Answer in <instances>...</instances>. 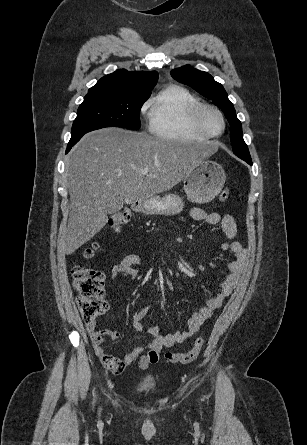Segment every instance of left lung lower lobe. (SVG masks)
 I'll use <instances>...</instances> for the list:
<instances>
[{
	"label": "left lung lower lobe",
	"mask_w": 307,
	"mask_h": 445,
	"mask_svg": "<svg viewBox=\"0 0 307 445\" xmlns=\"http://www.w3.org/2000/svg\"><path fill=\"white\" fill-rule=\"evenodd\" d=\"M239 158L243 159V160L246 161L248 164L252 165V160H251V158H250V159H247V158H245V157H241V156H240Z\"/></svg>",
	"instance_id": "left-lung-lower-lobe-1"
}]
</instances>
